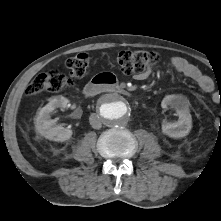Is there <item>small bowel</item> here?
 <instances>
[{
    "mask_svg": "<svg viewBox=\"0 0 221 221\" xmlns=\"http://www.w3.org/2000/svg\"><path fill=\"white\" fill-rule=\"evenodd\" d=\"M171 64L176 73L195 81L204 92L211 94V99L214 103L219 102L220 99L219 96L214 92L212 80L208 76L204 75L198 67L181 57L172 58ZM149 75L150 70H147L143 73L136 74L135 78L137 80H145L149 77Z\"/></svg>",
    "mask_w": 221,
    "mask_h": 221,
    "instance_id": "small-bowel-1",
    "label": "small bowel"
}]
</instances>
